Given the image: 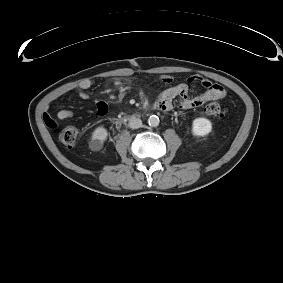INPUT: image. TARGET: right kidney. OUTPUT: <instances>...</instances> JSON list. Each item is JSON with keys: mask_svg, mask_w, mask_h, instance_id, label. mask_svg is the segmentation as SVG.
Listing matches in <instances>:
<instances>
[{"mask_svg": "<svg viewBox=\"0 0 283 283\" xmlns=\"http://www.w3.org/2000/svg\"><path fill=\"white\" fill-rule=\"evenodd\" d=\"M108 136L107 129L103 126L97 127L92 133V140H97L100 143H103Z\"/></svg>", "mask_w": 283, "mask_h": 283, "instance_id": "1", "label": "right kidney"}]
</instances>
